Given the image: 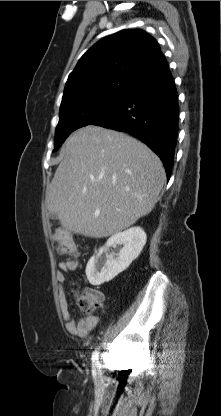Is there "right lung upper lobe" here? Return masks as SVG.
Wrapping results in <instances>:
<instances>
[{"instance_id": "cb5924a9", "label": "right lung upper lobe", "mask_w": 221, "mask_h": 416, "mask_svg": "<svg viewBox=\"0 0 221 416\" xmlns=\"http://www.w3.org/2000/svg\"><path fill=\"white\" fill-rule=\"evenodd\" d=\"M168 72L152 36L123 30L101 39L80 58L68 77L62 103L107 88L133 91L164 80Z\"/></svg>"}]
</instances>
